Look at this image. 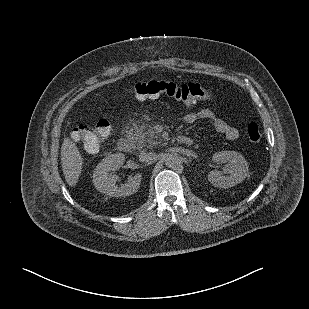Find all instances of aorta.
Instances as JSON below:
<instances>
[{"label": "aorta", "instance_id": "aorta-1", "mask_svg": "<svg viewBox=\"0 0 309 309\" xmlns=\"http://www.w3.org/2000/svg\"><path fill=\"white\" fill-rule=\"evenodd\" d=\"M165 165L169 168H175L181 163V157L177 153H168L164 158Z\"/></svg>", "mask_w": 309, "mask_h": 309}]
</instances>
